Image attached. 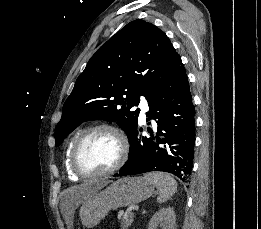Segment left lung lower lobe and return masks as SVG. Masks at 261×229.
I'll return each instance as SVG.
<instances>
[{
  "label": "left lung lower lobe",
  "instance_id": "1",
  "mask_svg": "<svg viewBox=\"0 0 261 229\" xmlns=\"http://www.w3.org/2000/svg\"><path fill=\"white\" fill-rule=\"evenodd\" d=\"M146 98L150 108L147 121L154 119L158 130L155 136L151 129V136L135 130L129 139V159L114 176L163 171L188 179L194 158L195 107L184 65L163 78Z\"/></svg>",
  "mask_w": 261,
  "mask_h": 229
}]
</instances>
